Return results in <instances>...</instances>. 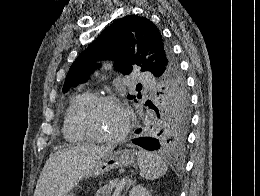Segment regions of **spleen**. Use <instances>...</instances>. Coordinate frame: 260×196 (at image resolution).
Segmentation results:
<instances>
[{"mask_svg":"<svg viewBox=\"0 0 260 196\" xmlns=\"http://www.w3.org/2000/svg\"><path fill=\"white\" fill-rule=\"evenodd\" d=\"M137 164L140 170V176L146 180H158L166 174L168 168L166 162L156 156L154 152H145L141 150L137 156Z\"/></svg>","mask_w":260,"mask_h":196,"instance_id":"spleen-1","label":"spleen"}]
</instances>
